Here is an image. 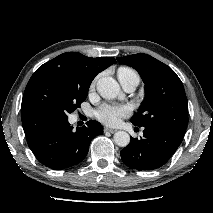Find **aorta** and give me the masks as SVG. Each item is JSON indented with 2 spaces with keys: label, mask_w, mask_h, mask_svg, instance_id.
I'll return each instance as SVG.
<instances>
[{
  "label": "aorta",
  "mask_w": 213,
  "mask_h": 213,
  "mask_svg": "<svg viewBox=\"0 0 213 213\" xmlns=\"http://www.w3.org/2000/svg\"><path fill=\"white\" fill-rule=\"evenodd\" d=\"M96 88L98 93L106 99H114L120 94V86L112 77L98 79ZM114 142L120 147H126L130 143V136L125 131H117L114 134Z\"/></svg>",
  "instance_id": "aorta-1"
}]
</instances>
